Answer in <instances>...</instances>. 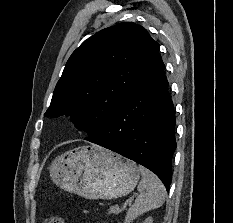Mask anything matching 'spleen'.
Masks as SVG:
<instances>
[{
  "label": "spleen",
  "instance_id": "3e777b00",
  "mask_svg": "<svg viewBox=\"0 0 233 223\" xmlns=\"http://www.w3.org/2000/svg\"><path fill=\"white\" fill-rule=\"evenodd\" d=\"M140 171L142 179L137 187L140 193L133 205L129 207L124 223H130L131 219H136L138 215H142L145 211L160 207L166 197V189L161 179L145 167H140Z\"/></svg>",
  "mask_w": 233,
  "mask_h": 223
}]
</instances>
